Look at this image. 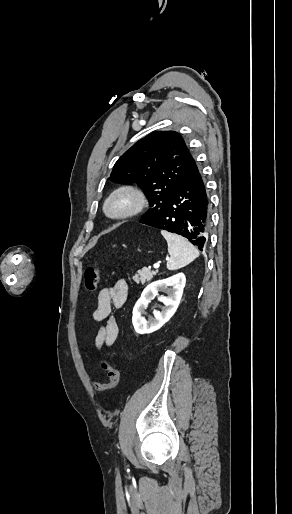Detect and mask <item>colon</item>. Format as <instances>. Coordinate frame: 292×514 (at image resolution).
<instances>
[{
	"mask_svg": "<svg viewBox=\"0 0 292 514\" xmlns=\"http://www.w3.org/2000/svg\"><path fill=\"white\" fill-rule=\"evenodd\" d=\"M101 271V267L97 264L86 268L84 273V286L88 292L94 293L97 291ZM101 367L106 372L108 381L104 384H96V389L99 391H110L116 388L120 381L119 371L107 358H102Z\"/></svg>",
	"mask_w": 292,
	"mask_h": 514,
	"instance_id": "colon-1",
	"label": "colon"
}]
</instances>
